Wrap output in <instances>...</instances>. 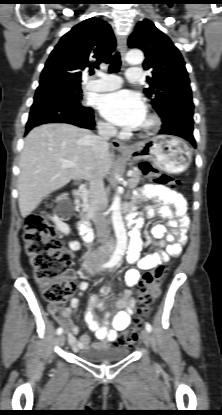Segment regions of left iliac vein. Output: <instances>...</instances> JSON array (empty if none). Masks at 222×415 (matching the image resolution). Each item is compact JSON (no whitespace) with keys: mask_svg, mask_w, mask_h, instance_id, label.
I'll return each instance as SVG.
<instances>
[{"mask_svg":"<svg viewBox=\"0 0 222 415\" xmlns=\"http://www.w3.org/2000/svg\"><path fill=\"white\" fill-rule=\"evenodd\" d=\"M142 341L145 345H149L150 343V333L147 329H144L141 333Z\"/></svg>","mask_w":222,"mask_h":415,"instance_id":"left-iliac-vein-1","label":"left iliac vein"}]
</instances>
